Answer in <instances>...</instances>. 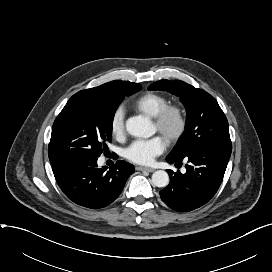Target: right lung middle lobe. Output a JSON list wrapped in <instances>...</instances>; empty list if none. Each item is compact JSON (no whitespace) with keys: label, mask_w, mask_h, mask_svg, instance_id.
I'll return each instance as SVG.
<instances>
[{"label":"right lung middle lobe","mask_w":272,"mask_h":272,"mask_svg":"<svg viewBox=\"0 0 272 272\" xmlns=\"http://www.w3.org/2000/svg\"><path fill=\"white\" fill-rule=\"evenodd\" d=\"M141 89L137 83H129L118 98L105 101H68L57 116L48 147L50 163L56 166L67 160L98 158L107 150L112 139L114 113L125 96Z\"/></svg>","instance_id":"1"}]
</instances>
